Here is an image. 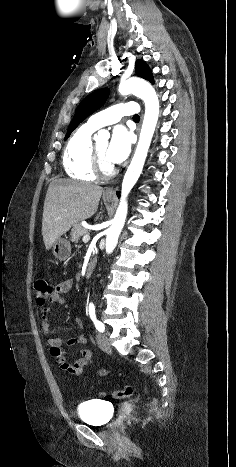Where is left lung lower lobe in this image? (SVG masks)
<instances>
[{"instance_id": "1", "label": "left lung lower lobe", "mask_w": 236, "mask_h": 467, "mask_svg": "<svg viewBox=\"0 0 236 467\" xmlns=\"http://www.w3.org/2000/svg\"><path fill=\"white\" fill-rule=\"evenodd\" d=\"M117 196L119 197V193L117 192Z\"/></svg>"}]
</instances>
